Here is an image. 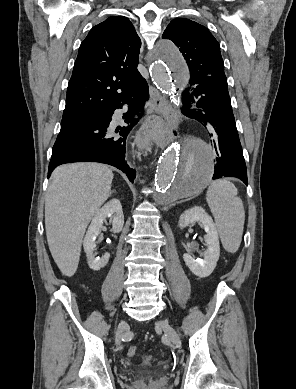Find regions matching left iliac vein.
<instances>
[{"instance_id":"4c4485c4","label":"left iliac vein","mask_w":296,"mask_h":389,"mask_svg":"<svg viewBox=\"0 0 296 389\" xmlns=\"http://www.w3.org/2000/svg\"><path fill=\"white\" fill-rule=\"evenodd\" d=\"M157 327L161 328L165 335L167 336V338L176 346V347H180L181 346V340H180V337L178 335V333L175 331V329L170 326V324L168 323V321L166 320H160L156 323Z\"/></svg>"}]
</instances>
